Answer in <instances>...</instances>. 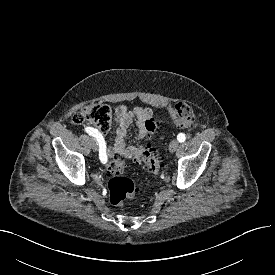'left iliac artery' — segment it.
<instances>
[{
    "mask_svg": "<svg viewBox=\"0 0 275 275\" xmlns=\"http://www.w3.org/2000/svg\"><path fill=\"white\" fill-rule=\"evenodd\" d=\"M177 140H178L179 142H184V141L186 140V135H185L184 133L178 134Z\"/></svg>",
    "mask_w": 275,
    "mask_h": 275,
    "instance_id": "obj_1",
    "label": "left iliac artery"
}]
</instances>
